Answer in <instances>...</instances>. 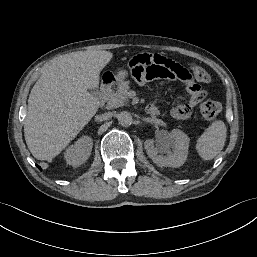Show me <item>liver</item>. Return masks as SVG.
<instances>
[{
	"instance_id": "1",
	"label": "liver",
	"mask_w": 257,
	"mask_h": 257,
	"mask_svg": "<svg viewBox=\"0 0 257 257\" xmlns=\"http://www.w3.org/2000/svg\"><path fill=\"white\" fill-rule=\"evenodd\" d=\"M112 57L104 50L73 52L42 72L24 121L25 141L36 159L59 155L95 115L100 102L88 90L98 88L100 72Z\"/></svg>"
}]
</instances>
